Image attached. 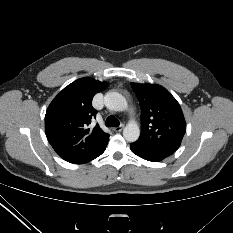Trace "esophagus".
I'll use <instances>...</instances> for the list:
<instances>
[{"mask_svg": "<svg viewBox=\"0 0 233 233\" xmlns=\"http://www.w3.org/2000/svg\"><path fill=\"white\" fill-rule=\"evenodd\" d=\"M123 128H124V125L121 124L120 126L115 127L113 130H114L115 132H120Z\"/></svg>", "mask_w": 233, "mask_h": 233, "instance_id": "obj_1", "label": "esophagus"}]
</instances>
